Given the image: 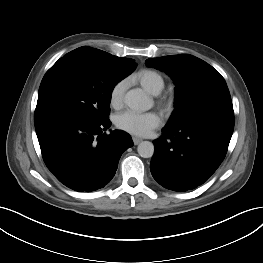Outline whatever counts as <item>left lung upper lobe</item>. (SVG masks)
Instances as JSON below:
<instances>
[{
  "instance_id": "left-lung-upper-lobe-1",
  "label": "left lung upper lobe",
  "mask_w": 263,
  "mask_h": 263,
  "mask_svg": "<svg viewBox=\"0 0 263 263\" xmlns=\"http://www.w3.org/2000/svg\"><path fill=\"white\" fill-rule=\"evenodd\" d=\"M145 64L164 71L176 84L175 109L167 125L192 121L213 112L234 114L224 78L205 61L182 54L149 58Z\"/></svg>"
}]
</instances>
